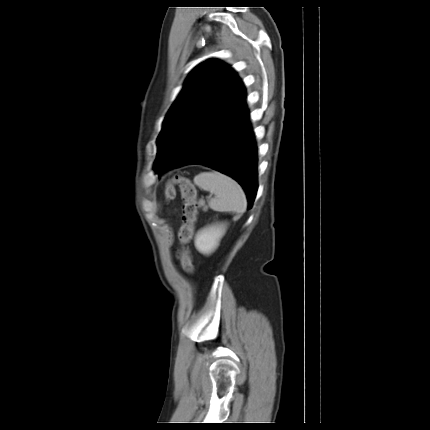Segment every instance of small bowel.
Masks as SVG:
<instances>
[{"label": "small bowel", "instance_id": "small-bowel-1", "mask_svg": "<svg viewBox=\"0 0 430 430\" xmlns=\"http://www.w3.org/2000/svg\"><path fill=\"white\" fill-rule=\"evenodd\" d=\"M173 242V236L171 234L168 235V243L172 244Z\"/></svg>", "mask_w": 430, "mask_h": 430}]
</instances>
